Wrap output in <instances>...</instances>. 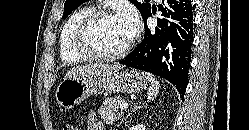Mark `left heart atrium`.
<instances>
[{
  "mask_svg": "<svg viewBox=\"0 0 249 130\" xmlns=\"http://www.w3.org/2000/svg\"><path fill=\"white\" fill-rule=\"evenodd\" d=\"M121 20L125 23L130 37L133 38L138 32V17L136 12L130 7H124L118 14Z\"/></svg>",
  "mask_w": 249,
  "mask_h": 130,
  "instance_id": "1",
  "label": "left heart atrium"
}]
</instances>
